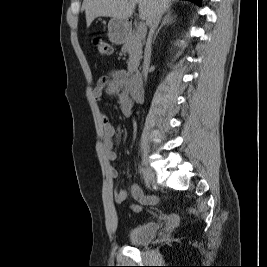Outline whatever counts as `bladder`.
<instances>
[{
	"instance_id": "1",
	"label": "bladder",
	"mask_w": 267,
	"mask_h": 267,
	"mask_svg": "<svg viewBox=\"0 0 267 267\" xmlns=\"http://www.w3.org/2000/svg\"><path fill=\"white\" fill-rule=\"evenodd\" d=\"M160 225L155 222L145 223L130 231L129 243L133 246H143L150 243L159 233Z\"/></svg>"
}]
</instances>
